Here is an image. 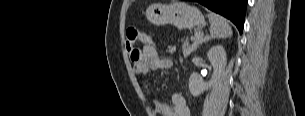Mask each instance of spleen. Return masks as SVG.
<instances>
[{
	"instance_id": "obj_1",
	"label": "spleen",
	"mask_w": 305,
	"mask_h": 116,
	"mask_svg": "<svg viewBox=\"0 0 305 116\" xmlns=\"http://www.w3.org/2000/svg\"><path fill=\"white\" fill-rule=\"evenodd\" d=\"M208 19L212 39H223L232 36V28L227 19L213 12L208 14Z\"/></svg>"
}]
</instances>
